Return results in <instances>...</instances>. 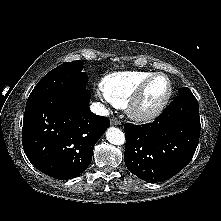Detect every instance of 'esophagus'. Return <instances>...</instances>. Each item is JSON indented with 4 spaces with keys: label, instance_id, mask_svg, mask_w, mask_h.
<instances>
[{
    "label": "esophagus",
    "instance_id": "34e87169",
    "mask_svg": "<svg viewBox=\"0 0 221 221\" xmlns=\"http://www.w3.org/2000/svg\"><path fill=\"white\" fill-rule=\"evenodd\" d=\"M111 124L114 125V126H118V125H121V121L117 118H112L111 119Z\"/></svg>",
    "mask_w": 221,
    "mask_h": 221
}]
</instances>
